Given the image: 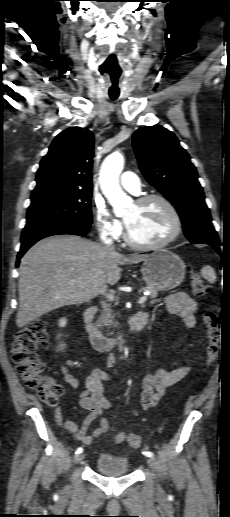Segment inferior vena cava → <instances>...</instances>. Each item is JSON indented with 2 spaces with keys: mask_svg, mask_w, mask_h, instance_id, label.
<instances>
[{
  "mask_svg": "<svg viewBox=\"0 0 230 517\" xmlns=\"http://www.w3.org/2000/svg\"><path fill=\"white\" fill-rule=\"evenodd\" d=\"M101 240H102L103 244H104L106 247L114 248V247L112 246L113 242H112V240H111V239L107 238L106 236H103V237H101Z\"/></svg>",
  "mask_w": 230,
  "mask_h": 517,
  "instance_id": "obj_1",
  "label": "inferior vena cava"
}]
</instances>
